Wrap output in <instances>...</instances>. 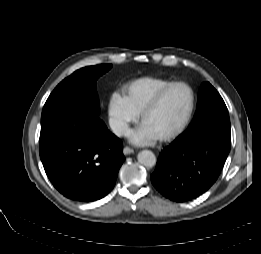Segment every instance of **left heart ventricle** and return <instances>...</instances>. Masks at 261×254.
Instances as JSON below:
<instances>
[{"instance_id":"1","label":"left heart ventricle","mask_w":261,"mask_h":254,"mask_svg":"<svg viewBox=\"0 0 261 254\" xmlns=\"http://www.w3.org/2000/svg\"><path fill=\"white\" fill-rule=\"evenodd\" d=\"M189 104V92L183 86L170 89L159 104L149 112L142 127L153 137L173 130L181 121Z\"/></svg>"}]
</instances>
